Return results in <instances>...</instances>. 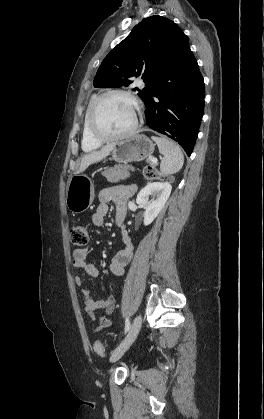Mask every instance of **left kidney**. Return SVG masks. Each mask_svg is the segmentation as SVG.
Instances as JSON below:
<instances>
[{"label":"left kidney","mask_w":264,"mask_h":419,"mask_svg":"<svg viewBox=\"0 0 264 419\" xmlns=\"http://www.w3.org/2000/svg\"><path fill=\"white\" fill-rule=\"evenodd\" d=\"M171 189L168 182H152L140 190L136 202L145 209L144 225L151 224L158 216L170 196ZM149 196L153 197L151 201L148 200Z\"/></svg>","instance_id":"left-kidney-1"}]
</instances>
